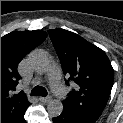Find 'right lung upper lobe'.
I'll list each match as a JSON object with an SVG mask.
<instances>
[{
	"label": "right lung upper lobe",
	"mask_w": 123,
	"mask_h": 123,
	"mask_svg": "<svg viewBox=\"0 0 123 123\" xmlns=\"http://www.w3.org/2000/svg\"><path fill=\"white\" fill-rule=\"evenodd\" d=\"M46 37L42 30L13 31L1 37V121L17 120L30 105L23 91L12 94L21 78L17 66Z\"/></svg>",
	"instance_id": "right-lung-upper-lobe-1"
}]
</instances>
